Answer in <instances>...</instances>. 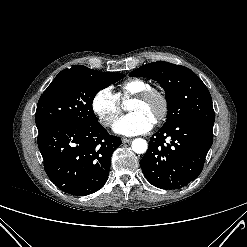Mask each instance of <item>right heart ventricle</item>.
<instances>
[{
	"instance_id": "1",
	"label": "right heart ventricle",
	"mask_w": 247,
	"mask_h": 247,
	"mask_svg": "<svg viewBox=\"0 0 247 247\" xmlns=\"http://www.w3.org/2000/svg\"><path fill=\"white\" fill-rule=\"evenodd\" d=\"M149 88H151V84L148 81L139 78H131L119 85L116 96L119 100H124Z\"/></svg>"
}]
</instances>
